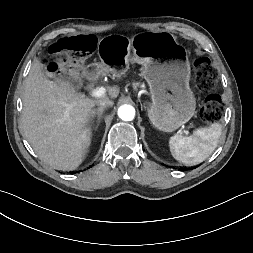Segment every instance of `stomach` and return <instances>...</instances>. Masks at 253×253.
<instances>
[{
  "label": "stomach",
  "mask_w": 253,
  "mask_h": 253,
  "mask_svg": "<svg viewBox=\"0 0 253 253\" xmlns=\"http://www.w3.org/2000/svg\"><path fill=\"white\" fill-rule=\"evenodd\" d=\"M100 62L92 64L95 74H125L130 63L143 66L152 103L148 107L151 123L172 132L194 115L196 101L189 87L190 64L185 50L170 33H148L128 38L112 34L97 44Z\"/></svg>",
  "instance_id": "stomach-1"
}]
</instances>
